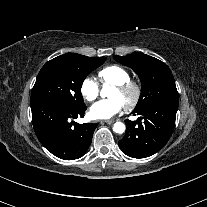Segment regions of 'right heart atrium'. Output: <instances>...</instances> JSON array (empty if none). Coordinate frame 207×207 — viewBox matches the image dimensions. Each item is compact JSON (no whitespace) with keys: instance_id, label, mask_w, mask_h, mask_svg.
<instances>
[{"instance_id":"right-heart-atrium-1","label":"right heart atrium","mask_w":207,"mask_h":207,"mask_svg":"<svg viewBox=\"0 0 207 207\" xmlns=\"http://www.w3.org/2000/svg\"><path fill=\"white\" fill-rule=\"evenodd\" d=\"M80 91L84 99L93 101L99 95L100 86L93 76H88L82 81Z\"/></svg>"}]
</instances>
